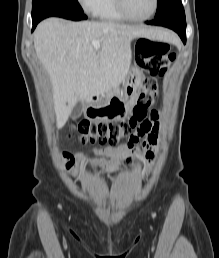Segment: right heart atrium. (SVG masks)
Segmentation results:
<instances>
[{
    "mask_svg": "<svg viewBox=\"0 0 219 258\" xmlns=\"http://www.w3.org/2000/svg\"><path fill=\"white\" fill-rule=\"evenodd\" d=\"M99 0H78L79 4L86 12H93Z\"/></svg>",
    "mask_w": 219,
    "mask_h": 258,
    "instance_id": "1",
    "label": "right heart atrium"
}]
</instances>
